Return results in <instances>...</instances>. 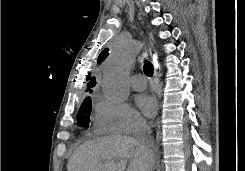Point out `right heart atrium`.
<instances>
[{"label":"right heart atrium","instance_id":"d8ad5b80","mask_svg":"<svg viewBox=\"0 0 245 171\" xmlns=\"http://www.w3.org/2000/svg\"><path fill=\"white\" fill-rule=\"evenodd\" d=\"M94 111V129L100 134H133L146 126L142 116L126 103L99 97Z\"/></svg>","mask_w":245,"mask_h":171}]
</instances>
